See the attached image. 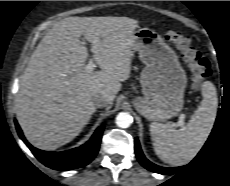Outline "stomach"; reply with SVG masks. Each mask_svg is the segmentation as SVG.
<instances>
[{
    "label": "stomach",
    "mask_w": 230,
    "mask_h": 186,
    "mask_svg": "<svg viewBox=\"0 0 230 186\" xmlns=\"http://www.w3.org/2000/svg\"><path fill=\"white\" fill-rule=\"evenodd\" d=\"M132 50L145 64L140 76L142 97L133 105L148 120L163 121L176 116L183 108L187 76L175 51L149 28L134 32Z\"/></svg>",
    "instance_id": "obj_1"
}]
</instances>
